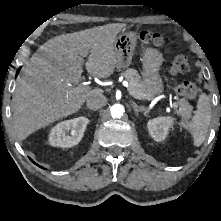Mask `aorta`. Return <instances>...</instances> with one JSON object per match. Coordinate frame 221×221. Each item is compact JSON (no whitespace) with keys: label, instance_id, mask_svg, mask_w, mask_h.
Wrapping results in <instances>:
<instances>
[{"label":"aorta","instance_id":"obj_1","mask_svg":"<svg viewBox=\"0 0 221 221\" xmlns=\"http://www.w3.org/2000/svg\"><path fill=\"white\" fill-rule=\"evenodd\" d=\"M111 116L113 118H120L123 116L125 109L124 106L121 104H114L110 107Z\"/></svg>","mask_w":221,"mask_h":221}]
</instances>
